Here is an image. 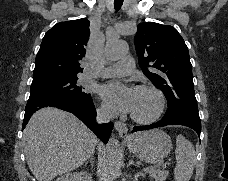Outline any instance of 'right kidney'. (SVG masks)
Here are the masks:
<instances>
[{"label": "right kidney", "mask_w": 228, "mask_h": 181, "mask_svg": "<svg viewBox=\"0 0 228 181\" xmlns=\"http://www.w3.org/2000/svg\"><path fill=\"white\" fill-rule=\"evenodd\" d=\"M56 181H92L91 175L89 173H67V175H64V177H59V179H56Z\"/></svg>", "instance_id": "right-kidney-1"}]
</instances>
